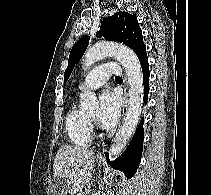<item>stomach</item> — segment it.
<instances>
[{
  "mask_svg": "<svg viewBox=\"0 0 211 195\" xmlns=\"http://www.w3.org/2000/svg\"><path fill=\"white\" fill-rule=\"evenodd\" d=\"M99 161V163L103 162V160L101 158L97 159ZM53 184L57 187L58 185L61 187V188H66V182L61 179V178H58V177H54L53 179ZM56 195H62L60 190L56 192Z\"/></svg>",
  "mask_w": 211,
  "mask_h": 195,
  "instance_id": "obj_1",
  "label": "stomach"
}]
</instances>
